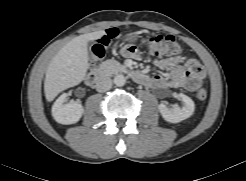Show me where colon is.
Returning <instances> with one entry per match:
<instances>
[{
  "instance_id": "obj_1",
  "label": "colon",
  "mask_w": 246,
  "mask_h": 181,
  "mask_svg": "<svg viewBox=\"0 0 246 181\" xmlns=\"http://www.w3.org/2000/svg\"><path fill=\"white\" fill-rule=\"evenodd\" d=\"M117 34V31L112 29L106 36H102L93 44L91 48L93 59L99 60L105 56L110 42L116 38ZM143 42L153 57L177 55L182 50L172 35H151L145 37ZM190 69L197 75L202 72V66L195 60L190 63ZM195 96L198 100H205L207 91L200 88L196 91Z\"/></svg>"
}]
</instances>
